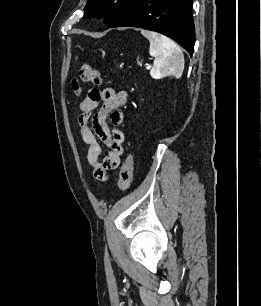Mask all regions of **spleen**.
Here are the masks:
<instances>
[{"label": "spleen", "instance_id": "3e777b00", "mask_svg": "<svg viewBox=\"0 0 261 306\" xmlns=\"http://www.w3.org/2000/svg\"><path fill=\"white\" fill-rule=\"evenodd\" d=\"M141 34L149 40V53L154 57L150 75L155 79L166 76L180 78L184 70V55L181 48L159 33L142 30Z\"/></svg>", "mask_w": 261, "mask_h": 306}]
</instances>
